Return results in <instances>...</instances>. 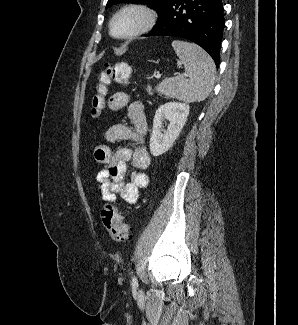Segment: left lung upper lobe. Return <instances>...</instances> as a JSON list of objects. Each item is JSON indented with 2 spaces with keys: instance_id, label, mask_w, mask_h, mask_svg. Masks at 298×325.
I'll list each match as a JSON object with an SVG mask.
<instances>
[{
  "instance_id": "5c2ea615",
  "label": "left lung upper lobe",
  "mask_w": 298,
  "mask_h": 325,
  "mask_svg": "<svg viewBox=\"0 0 298 325\" xmlns=\"http://www.w3.org/2000/svg\"><path fill=\"white\" fill-rule=\"evenodd\" d=\"M126 1L127 2H147L150 5H152L153 7H155L156 9H158L159 14H160L171 0H108L106 8H109L119 2H126Z\"/></svg>"
}]
</instances>
